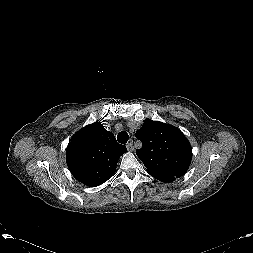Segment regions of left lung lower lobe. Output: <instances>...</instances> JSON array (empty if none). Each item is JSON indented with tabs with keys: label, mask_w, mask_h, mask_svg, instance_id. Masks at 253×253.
<instances>
[{
	"label": "left lung lower lobe",
	"mask_w": 253,
	"mask_h": 253,
	"mask_svg": "<svg viewBox=\"0 0 253 253\" xmlns=\"http://www.w3.org/2000/svg\"><path fill=\"white\" fill-rule=\"evenodd\" d=\"M150 175L162 182H172L176 178H179L178 176H173V175L166 174V173H154V174H150Z\"/></svg>",
	"instance_id": "0a47b994"
}]
</instances>
